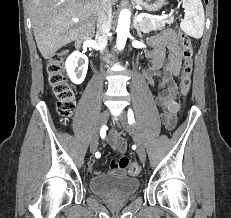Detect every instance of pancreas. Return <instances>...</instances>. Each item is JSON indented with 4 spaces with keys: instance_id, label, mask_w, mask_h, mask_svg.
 <instances>
[{
    "instance_id": "obj_1",
    "label": "pancreas",
    "mask_w": 231,
    "mask_h": 218,
    "mask_svg": "<svg viewBox=\"0 0 231 218\" xmlns=\"http://www.w3.org/2000/svg\"><path fill=\"white\" fill-rule=\"evenodd\" d=\"M172 22V17L167 20H157L149 16H145L138 25L141 31L149 33L150 31L162 30L165 27V24H171Z\"/></svg>"
}]
</instances>
